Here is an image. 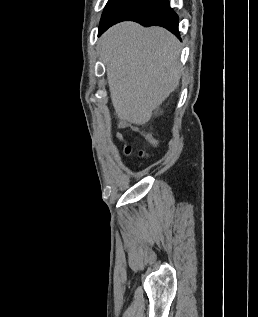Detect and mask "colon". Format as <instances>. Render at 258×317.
Returning <instances> with one entry per match:
<instances>
[{
  "mask_svg": "<svg viewBox=\"0 0 258 317\" xmlns=\"http://www.w3.org/2000/svg\"><path fill=\"white\" fill-rule=\"evenodd\" d=\"M132 152H133V148L131 146L129 145L125 146V153L127 155L132 154ZM141 156H145V153L141 152Z\"/></svg>",
  "mask_w": 258,
  "mask_h": 317,
  "instance_id": "5ec220e1",
  "label": "colon"
}]
</instances>
